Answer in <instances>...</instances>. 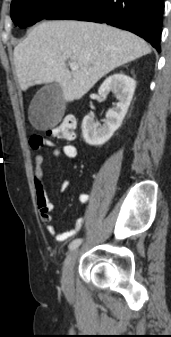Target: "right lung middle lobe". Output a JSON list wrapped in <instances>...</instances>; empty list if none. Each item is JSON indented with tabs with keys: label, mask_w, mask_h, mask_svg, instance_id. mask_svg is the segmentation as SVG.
<instances>
[{
	"label": "right lung middle lobe",
	"mask_w": 171,
	"mask_h": 337,
	"mask_svg": "<svg viewBox=\"0 0 171 337\" xmlns=\"http://www.w3.org/2000/svg\"><path fill=\"white\" fill-rule=\"evenodd\" d=\"M70 0H12L11 18L15 26L26 28L47 18Z\"/></svg>",
	"instance_id": "1"
}]
</instances>
